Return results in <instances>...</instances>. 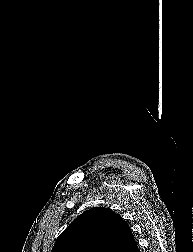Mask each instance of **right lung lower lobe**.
Wrapping results in <instances>:
<instances>
[{
	"label": "right lung lower lobe",
	"instance_id": "obj_1",
	"mask_svg": "<svg viewBox=\"0 0 193 252\" xmlns=\"http://www.w3.org/2000/svg\"><path fill=\"white\" fill-rule=\"evenodd\" d=\"M134 252H140V250L138 249V247L134 250Z\"/></svg>",
	"mask_w": 193,
	"mask_h": 252
}]
</instances>
